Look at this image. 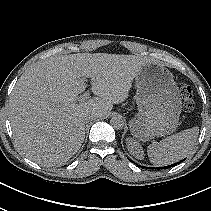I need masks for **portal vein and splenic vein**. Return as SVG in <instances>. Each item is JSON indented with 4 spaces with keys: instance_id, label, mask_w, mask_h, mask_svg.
Segmentation results:
<instances>
[{
    "instance_id": "18ae733b",
    "label": "portal vein and splenic vein",
    "mask_w": 211,
    "mask_h": 211,
    "mask_svg": "<svg viewBox=\"0 0 211 211\" xmlns=\"http://www.w3.org/2000/svg\"><path fill=\"white\" fill-rule=\"evenodd\" d=\"M90 97V92H86L84 94H82L77 100L79 102H83L85 100H87Z\"/></svg>"
}]
</instances>
